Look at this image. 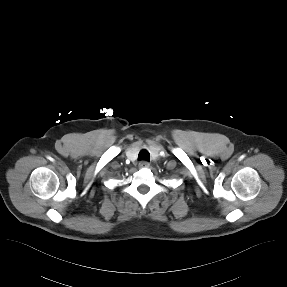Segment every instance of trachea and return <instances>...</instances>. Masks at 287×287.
<instances>
[{"mask_svg":"<svg viewBox=\"0 0 287 287\" xmlns=\"http://www.w3.org/2000/svg\"><path fill=\"white\" fill-rule=\"evenodd\" d=\"M138 160L150 161V154L147 150L143 149L139 152Z\"/></svg>","mask_w":287,"mask_h":287,"instance_id":"obj_1","label":"trachea"}]
</instances>
